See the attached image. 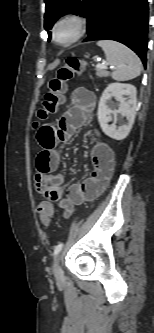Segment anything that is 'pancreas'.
I'll use <instances>...</instances> for the list:
<instances>
[{"mask_svg":"<svg viewBox=\"0 0 154 333\" xmlns=\"http://www.w3.org/2000/svg\"><path fill=\"white\" fill-rule=\"evenodd\" d=\"M96 75L98 77H108L109 76V72L102 69V68H96Z\"/></svg>","mask_w":154,"mask_h":333,"instance_id":"cf45deb5","label":"pancreas"}]
</instances>
